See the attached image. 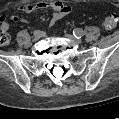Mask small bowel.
Masks as SVG:
<instances>
[{"label":"small bowel","instance_id":"obj_1","mask_svg":"<svg viewBox=\"0 0 119 119\" xmlns=\"http://www.w3.org/2000/svg\"><path fill=\"white\" fill-rule=\"evenodd\" d=\"M51 9L52 17L51 24H54L57 20L67 16L71 12V7L63 1H50V2H37V3H27L22 4L19 10L24 13H32L36 10ZM11 20L14 22L27 23L28 19L19 15H12ZM1 26L9 30V23L6 21L5 17L1 18Z\"/></svg>","mask_w":119,"mask_h":119}]
</instances>
